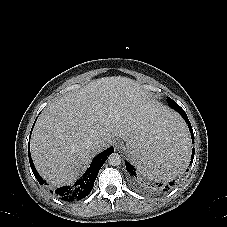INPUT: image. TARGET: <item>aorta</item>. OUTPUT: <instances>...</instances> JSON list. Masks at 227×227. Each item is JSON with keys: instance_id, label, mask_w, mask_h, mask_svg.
<instances>
[{"instance_id": "obj_1", "label": "aorta", "mask_w": 227, "mask_h": 227, "mask_svg": "<svg viewBox=\"0 0 227 227\" xmlns=\"http://www.w3.org/2000/svg\"><path fill=\"white\" fill-rule=\"evenodd\" d=\"M121 156L118 153H112L109 157H108V162L110 165L112 166H118L121 164Z\"/></svg>"}]
</instances>
